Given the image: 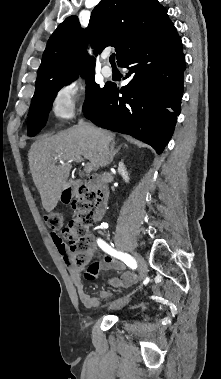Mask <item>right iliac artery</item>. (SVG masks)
Wrapping results in <instances>:
<instances>
[{
    "mask_svg": "<svg viewBox=\"0 0 221 379\" xmlns=\"http://www.w3.org/2000/svg\"><path fill=\"white\" fill-rule=\"evenodd\" d=\"M97 243L103 251L110 254L111 256H114V257L122 260L129 268L136 269L137 262L131 255L115 250L113 247H111L109 244H107L102 239H98Z\"/></svg>",
    "mask_w": 221,
    "mask_h": 379,
    "instance_id": "right-iliac-artery-1",
    "label": "right iliac artery"
}]
</instances>
